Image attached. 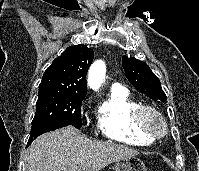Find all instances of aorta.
Listing matches in <instances>:
<instances>
[{
    "label": "aorta",
    "mask_w": 199,
    "mask_h": 171,
    "mask_svg": "<svg viewBox=\"0 0 199 171\" xmlns=\"http://www.w3.org/2000/svg\"><path fill=\"white\" fill-rule=\"evenodd\" d=\"M106 66L102 60L95 61L88 72V85L93 90H98L104 80Z\"/></svg>",
    "instance_id": "762f6f07"
}]
</instances>
